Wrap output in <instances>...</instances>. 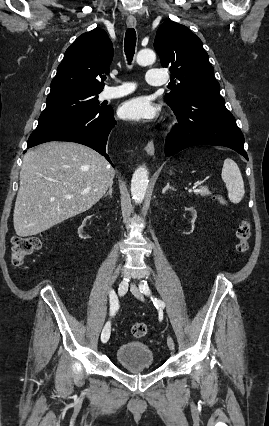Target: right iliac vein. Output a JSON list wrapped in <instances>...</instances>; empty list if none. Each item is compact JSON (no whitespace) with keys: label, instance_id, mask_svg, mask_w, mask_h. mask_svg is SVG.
<instances>
[{"label":"right iliac vein","instance_id":"obj_1","mask_svg":"<svg viewBox=\"0 0 269 426\" xmlns=\"http://www.w3.org/2000/svg\"><path fill=\"white\" fill-rule=\"evenodd\" d=\"M128 289V283L125 280H122L119 283V294L120 295H124L127 292ZM110 334H111V323L110 321H108L105 326L103 327L102 333H101V341L102 343H106L109 338H110Z\"/></svg>","mask_w":269,"mask_h":426}]
</instances>
